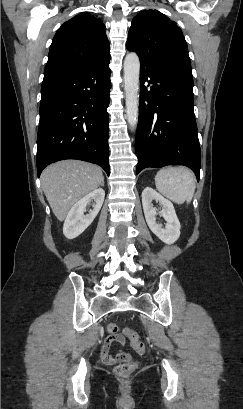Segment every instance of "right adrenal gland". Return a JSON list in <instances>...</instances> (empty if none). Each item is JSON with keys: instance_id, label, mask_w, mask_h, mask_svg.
Returning a JSON list of instances; mask_svg holds the SVG:
<instances>
[{"instance_id": "1", "label": "right adrenal gland", "mask_w": 243, "mask_h": 409, "mask_svg": "<svg viewBox=\"0 0 243 409\" xmlns=\"http://www.w3.org/2000/svg\"><path fill=\"white\" fill-rule=\"evenodd\" d=\"M101 186H104V180H102Z\"/></svg>"}]
</instances>
